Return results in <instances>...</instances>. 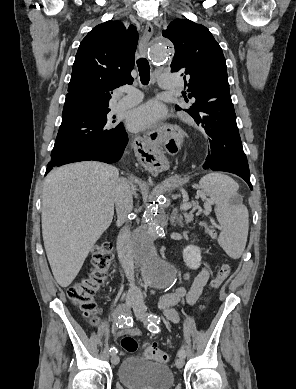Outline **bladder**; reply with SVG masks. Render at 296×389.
I'll return each mask as SVG.
<instances>
[{
    "label": "bladder",
    "mask_w": 296,
    "mask_h": 389,
    "mask_svg": "<svg viewBox=\"0 0 296 389\" xmlns=\"http://www.w3.org/2000/svg\"><path fill=\"white\" fill-rule=\"evenodd\" d=\"M117 375L128 389H171L174 385V375L167 365L135 356L122 361Z\"/></svg>",
    "instance_id": "31cf9c89"
}]
</instances>
